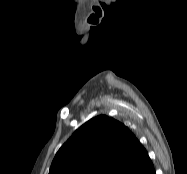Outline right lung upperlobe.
Returning a JSON list of instances; mask_svg holds the SVG:
<instances>
[{"label": "right lung upper lobe", "mask_w": 187, "mask_h": 174, "mask_svg": "<svg viewBox=\"0 0 187 174\" xmlns=\"http://www.w3.org/2000/svg\"><path fill=\"white\" fill-rule=\"evenodd\" d=\"M153 164L135 135L105 115L83 124L57 152L49 174H151Z\"/></svg>", "instance_id": "right-lung-upper-lobe-1"}]
</instances>
